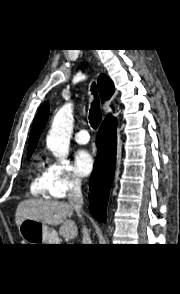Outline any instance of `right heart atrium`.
Segmentation results:
<instances>
[{"label":"right heart atrium","mask_w":180,"mask_h":294,"mask_svg":"<svg viewBox=\"0 0 180 294\" xmlns=\"http://www.w3.org/2000/svg\"><path fill=\"white\" fill-rule=\"evenodd\" d=\"M48 194L53 198H64L81 187V180L66 162H50L47 166Z\"/></svg>","instance_id":"right-heart-atrium-1"}]
</instances>
